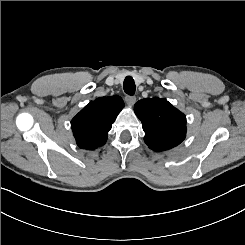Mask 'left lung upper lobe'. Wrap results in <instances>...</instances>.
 I'll return each mask as SVG.
<instances>
[{"label":"left lung upper lobe","mask_w":245,"mask_h":245,"mask_svg":"<svg viewBox=\"0 0 245 245\" xmlns=\"http://www.w3.org/2000/svg\"><path fill=\"white\" fill-rule=\"evenodd\" d=\"M142 122L145 143L156 152L179 145L186 136V116L164 98H147L134 106Z\"/></svg>","instance_id":"obj_1"}]
</instances>
